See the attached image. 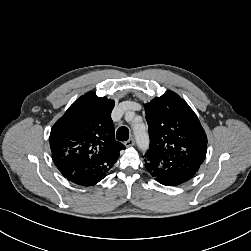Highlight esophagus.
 <instances>
[{
    "mask_svg": "<svg viewBox=\"0 0 251 251\" xmlns=\"http://www.w3.org/2000/svg\"><path fill=\"white\" fill-rule=\"evenodd\" d=\"M133 145H135V140L133 138H130L129 140H127L125 142L126 147H130V146H133Z\"/></svg>",
    "mask_w": 251,
    "mask_h": 251,
    "instance_id": "1",
    "label": "esophagus"
}]
</instances>
